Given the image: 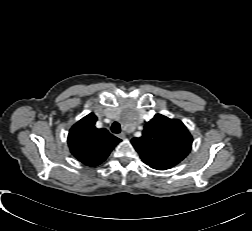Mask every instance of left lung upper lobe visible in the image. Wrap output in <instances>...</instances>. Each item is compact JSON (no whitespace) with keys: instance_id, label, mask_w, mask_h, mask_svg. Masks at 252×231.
Listing matches in <instances>:
<instances>
[{"instance_id":"left-lung-upper-lobe-1","label":"left lung upper lobe","mask_w":252,"mask_h":231,"mask_svg":"<svg viewBox=\"0 0 252 231\" xmlns=\"http://www.w3.org/2000/svg\"><path fill=\"white\" fill-rule=\"evenodd\" d=\"M192 141L180 120L157 114L145 125L142 136L131 143L147 165L169 169L188 155Z\"/></svg>"}]
</instances>
